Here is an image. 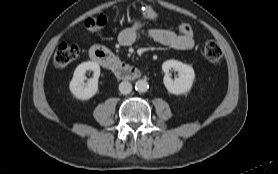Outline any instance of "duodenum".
I'll return each mask as SVG.
<instances>
[{
    "label": "duodenum",
    "mask_w": 278,
    "mask_h": 174,
    "mask_svg": "<svg viewBox=\"0 0 278 174\" xmlns=\"http://www.w3.org/2000/svg\"><path fill=\"white\" fill-rule=\"evenodd\" d=\"M91 59L102 67L112 71L118 78L130 80L140 77V71L123 63L116 55L102 46H93L90 49Z\"/></svg>",
    "instance_id": "1"
}]
</instances>
